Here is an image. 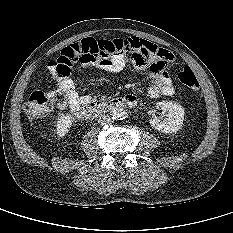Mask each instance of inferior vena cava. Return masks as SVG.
<instances>
[{
  "label": "inferior vena cava",
  "instance_id": "obj_1",
  "mask_svg": "<svg viewBox=\"0 0 233 233\" xmlns=\"http://www.w3.org/2000/svg\"><path fill=\"white\" fill-rule=\"evenodd\" d=\"M98 123L101 125H109L113 123V119L110 115H100L98 118Z\"/></svg>",
  "mask_w": 233,
  "mask_h": 233
}]
</instances>
